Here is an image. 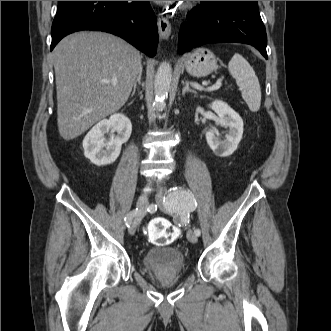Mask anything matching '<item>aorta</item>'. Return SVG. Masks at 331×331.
Returning <instances> with one entry per match:
<instances>
[{
	"instance_id": "762f6f07",
	"label": "aorta",
	"mask_w": 331,
	"mask_h": 331,
	"mask_svg": "<svg viewBox=\"0 0 331 331\" xmlns=\"http://www.w3.org/2000/svg\"><path fill=\"white\" fill-rule=\"evenodd\" d=\"M172 78V68L171 65L167 62H163L160 64L154 81V109L161 110L165 107V99L168 96V92L170 90Z\"/></svg>"
}]
</instances>
